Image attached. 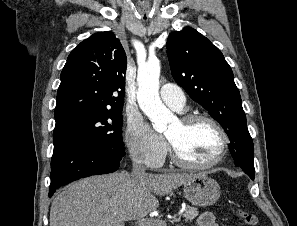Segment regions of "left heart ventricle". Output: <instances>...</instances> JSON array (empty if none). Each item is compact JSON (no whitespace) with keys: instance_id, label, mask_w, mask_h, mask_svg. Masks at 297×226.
<instances>
[{"instance_id":"b2bd125f","label":"left heart ventricle","mask_w":297,"mask_h":226,"mask_svg":"<svg viewBox=\"0 0 297 226\" xmlns=\"http://www.w3.org/2000/svg\"><path fill=\"white\" fill-rule=\"evenodd\" d=\"M165 135L186 160L197 164L212 161L222 143L219 132L204 121L185 126L177 120L165 131Z\"/></svg>"}]
</instances>
